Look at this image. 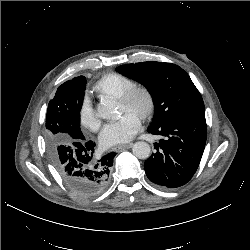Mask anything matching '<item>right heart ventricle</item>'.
<instances>
[{
  "mask_svg": "<svg viewBox=\"0 0 250 250\" xmlns=\"http://www.w3.org/2000/svg\"><path fill=\"white\" fill-rule=\"evenodd\" d=\"M134 85V80L129 76L121 73H109L97 81L93 90L99 95L119 98Z\"/></svg>",
  "mask_w": 250,
  "mask_h": 250,
  "instance_id": "right-heart-ventricle-1",
  "label": "right heart ventricle"
}]
</instances>
